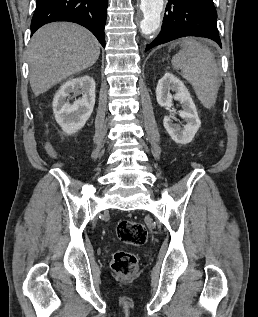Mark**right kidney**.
Listing matches in <instances>:
<instances>
[{
	"instance_id": "1",
	"label": "right kidney",
	"mask_w": 258,
	"mask_h": 317,
	"mask_svg": "<svg viewBox=\"0 0 258 317\" xmlns=\"http://www.w3.org/2000/svg\"><path fill=\"white\" fill-rule=\"evenodd\" d=\"M70 92L73 96L82 94L74 102H68ZM95 104V80L89 74L70 78L61 84L53 98V112L62 130L67 134H73L84 126L86 120L91 116Z\"/></svg>"
}]
</instances>
